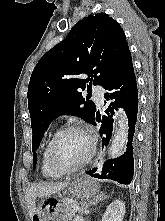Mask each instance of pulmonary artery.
<instances>
[{
    "mask_svg": "<svg viewBox=\"0 0 165 221\" xmlns=\"http://www.w3.org/2000/svg\"><path fill=\"white\" fill-rule=\"evenodd\" d=\"M94 98L95 101L98 105H102L103 101H104V92L101 88H95L94 89Z\"/></svg>",
    "mask_w": 165,
    "mask_h": 221,
    "instance_id": "pulmonary-artery-1",
    "label": "pulmonary artery"
}]
</instances>
